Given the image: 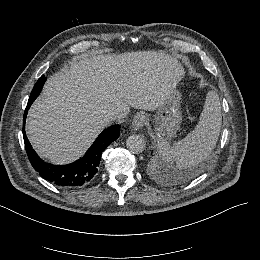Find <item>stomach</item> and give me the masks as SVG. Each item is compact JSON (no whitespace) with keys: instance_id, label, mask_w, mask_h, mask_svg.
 Segmentation results:
<instances>
[{"instance_id":"obj_1","label":"stomach","mask_w":260,"mask_h":260,"mask_svg":"<svg viewBox=\"0 0 260 260\" xmlns=\"http://www.w3.org/2000/svg\"><path fill=\"white\" fill-rule=\"evenodd\" d=\"M181 122L180 93L175 88L163 104L157 107L153 119L154 132L160 138L171 139L176 135Z\"/></svg>"}]
</instances>
